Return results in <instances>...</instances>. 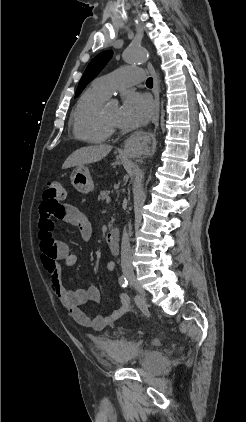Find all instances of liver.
Masks as SVG:
<instances>
[{
    "label": "liver",
    "instance_id": "6515ba94",
    "mask_svg": "<svg viewBox=\"0 0 246 422\" xmlns=\"http://www.w3.org/2000/svg\"><path fill=\"white\" fill-rule=\"evenodd\" d=\"M111 150L112 146L105 144L80 148L65 160L62 169L98 162L106 157Z\"/></svg>",
    "mask_w": 246,
    "mask_h": 422
}]
</instances>
